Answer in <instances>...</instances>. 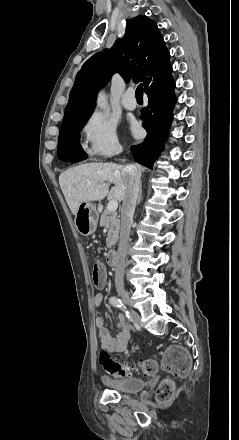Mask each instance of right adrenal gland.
Wrapping results in <instances>:
<instances>
[{
	"label": "right adrenal gland",
	"mask_w": 239,
	"mask_h": 440,
	"mask_svg": "<svg viewBox=\"0 0 239 440\" xmlns=\"http://www.w3.org/2000/svg\"><path fill=\"white\" fill-rule=\"evenodd\" d=\"M141 196H142V182H140L139 184V196H138L137 204H140Z\"/></svg>",
	"instance_id": "2a0ac1e0"
}]
</instances>
